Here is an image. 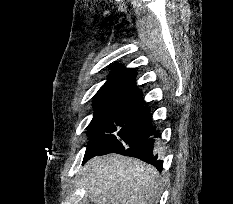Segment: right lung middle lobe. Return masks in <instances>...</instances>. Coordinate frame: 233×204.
<instances>
[{
	"mask_svg": "<svg viewBox=\"0 0 233 204\" xmlns=\"http://www.w3.org/2000/svg\"><path fill=\"white\" fill-rule=\"evenodd\" d=\"M88 135V146L118 151L159 133L152 127L149 109L139 102L115 105L96 113L88 126Z\"/></svg>",
	"mask_w": 233,
	"mask_h": 204,
	"instance_id": "right-lung-middle-lobe-1",
	"label": "right lung middle lobe"
}]
</instances>
